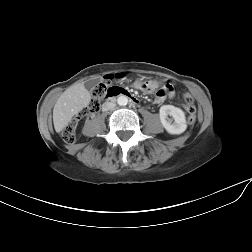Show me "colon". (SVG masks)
Returning <instances> with one entry per match:
<instances>
[{
  "label": "colon",
  "instance_id": "1",
  "mask_svg": "<svg viewBox=\"0 0 252 252\" xmlns=\"http://www.w3.org/2000/svg\"><path fill=\"white\" fill-rule=\"evenodd\" d=\"M122 77V74L107 75L103 81L96 86L88 106L81 110V112L62 129L61 136L66 143H73L75 141L76 129L80 119L97 112L103 98L108 97L118 90H122V88L113 86L112 84L115 78L120 79ZM141 84L144 88H149L148 81H141ZM183 104L189 115L188 122L191 124L194 123L196 121V107L193 98L185 94L183 97Z\"/></svg>",
  "mask_w": 252,
  "mask_h": 252
}]
</instances>
